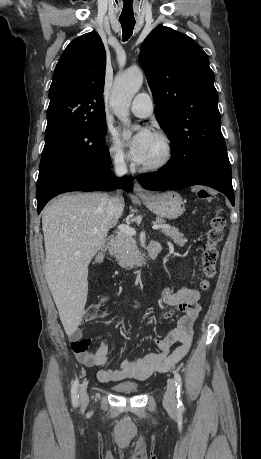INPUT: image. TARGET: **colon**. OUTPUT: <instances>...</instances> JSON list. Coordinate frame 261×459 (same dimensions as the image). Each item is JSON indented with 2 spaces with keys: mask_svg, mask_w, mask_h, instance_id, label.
<instances>
[{
  "mask_svg": "<svg viewBox=\"0 0 261 459\" xmlns=\"http://www.w3.org/2000/svg\"><path fill=\"white\" fill-rule=\"evenodd\" d=\"M196 194L198 198L203 200H211L213 198L210 188H201ZM224 227L225 219L220 213H217L211 220L205 248L201 257L203 279L200 281V288L202 291H207L211 287L212 279L216 275V267L219 256L218 244L222 239ZM99 310V304H90L84 312L83 320L91 321L95 319Z\"/></svg>",
  "mask_w": 261,
  "mask_h": 459,
  "instance_id": "colon-1",
  "label": "colon"
}]
</instances>
